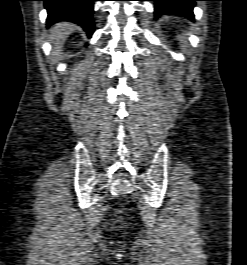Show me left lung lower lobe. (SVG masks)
<instances>
[{"instance_id":"obj_1","label":"left lung lower lobe","mask_w":247,"mask_h":265,"mask_svg":"<svg viewBox=\"0 0 247 265\" xmlns=\"http://www.w3.org/2000/svg\"><path fill=\"white\" fill-rule=\"evenodd\" d=\"M155 2V15L177 14L193 19L195 1L202 0H148Z\"/></svg>"}]
</instances>
